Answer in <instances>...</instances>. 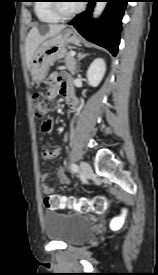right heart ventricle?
Here are the masks:
<instances>
[{"mask_svg":"<svg viewBox=\"0 0 158 275\" xmlns=\"http://www.w3.org/2000/svg\"><path fill=\"white\" fill-rule=\"evenodd\" d=\"M51 0H39L35 5V11L38 19L45 23H56L60 18L53 12L51 8Z\"/></svg>","mask_w":158,"mask_h":275,"instance_id":"e07e8e85","label":"right heart ventricle"}]
</instances>
